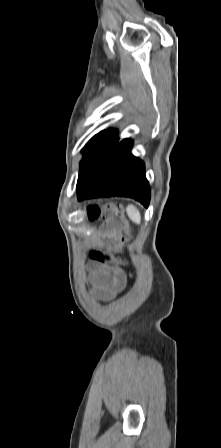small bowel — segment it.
Here are the masks:
<instances>
[{
    "label": "small bowel",
    "instance_id": "1",
    "mask_svg": "<svg viewBox=\"0 0 221 448\" xmlns=\"http://www.w3.org/2000/svg\"><path fill=\"white\" fill-rule=\"evenodd\" d=\"M111 235L114 238L120 237L117 229H113ZM91 279L98 294L107 298L121 292L126 287L129 276L119 266L98 264L92 271Z\"/></svg>",
    "mask_w": 221,
    "mask_h": 448
}]
</instances>
